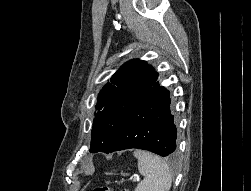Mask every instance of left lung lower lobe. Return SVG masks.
I'll return each instance as SVG.
<instances>
[{"label":"left lung lower lobe","mask_w":251,"mask_h":191,"mask_svg":"<svg viewBox=\"0 0 251 191\" xmlns=\"http://www.w3.org/2000/svg\"><path fill=\"white\" fill-rule=\"evenodd\" d=\"M176 139L170 93L156 82L136 104L107 153L136 148L171 156L177 149Z\"/></svg>","instance_id":"obj_1"}]
</instances>
